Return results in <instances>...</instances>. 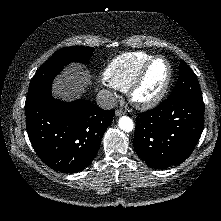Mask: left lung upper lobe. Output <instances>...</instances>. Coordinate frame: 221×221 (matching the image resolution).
Returning <instances> with one entry per match:
<instances>
[{
	"label": "left lung upper lobe",
	"mask_w": 221,
	"mask_h": 221,
	"mask_svg": "<svg viewBox=\"0 0 221 221\" xmlns=\"http://www.w3.org/2000/svg\"><path fill=\"white\" fill-rule=\"evenodd\" d=\"M187 97L201 100L202 93L196 76L186 62L181 61L179 67V78L176 86L168 98Z\"/></svg>",
	"instance_id": "1"
}]
</instances>
